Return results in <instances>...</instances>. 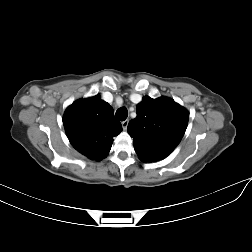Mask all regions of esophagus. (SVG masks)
<instances>
[{"instance_id":"1","label":"esophagus","mask_w":252,"mask_h":252,"mask_svg":"<svg viewBox=\"0 0 252 252\" xmlns=\"http://www.w3.org/2000/svg\"><path fill=\"white\" fill-rule=\"evenodd\" d=\"M128 122H129L128 120H125V121L122 122V127H123L124 130L127 129Z\"/></svg>"}]
</instances>
